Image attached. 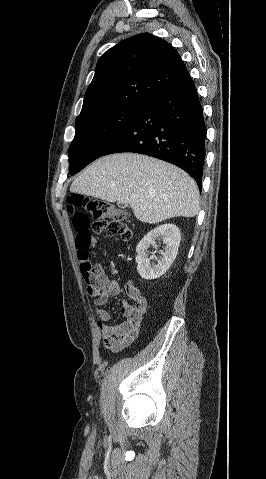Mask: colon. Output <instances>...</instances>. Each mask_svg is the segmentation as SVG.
<instances>
[{"instance_id": "colon-1", "label": "colon", "mask_w": 266, "mask_h": 479, "mask_svg": "<svg viewBox=\"0 0 266 479\" xmlns=\"http://www.w3.org/2000/svg\"><path fill=\"white\" fill-rule=\"evenodd\" d=\"M67 208L72 213L79 269L89 295L94 298L96 284L91 250V231L95 233L108 231L123 241L129 240L131 233L124 222L126 213L111 203L79 194H72L68 197Z\"/></svg>"}]
</instances>
